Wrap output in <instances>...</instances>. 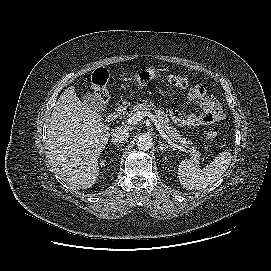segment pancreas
<instances>
[{"mask_svg":"<svg viewBox=\"0 0 271 271\" xmlns=\"http://www.w3.org/2000/svg\"><path fill=\"white\" fill-rule=\"evenodd\" d=\"M149 110H154L158 122L160 123L162 129L168 134L171 141L180 143L185 147H190L189 145H191L192 142L181 137L182 135L177 131V129L170 126V120L166 112L156 107L152 102L143 100L141 103H137L135 106H133V110L129 111L126 115L131 116L138 112H147ZM190 152L193 154L194 160H197V158L200 156L195 147H190Z\"/></svg>","mask_w":271,"mask_h":271,"instance_id":"cf45deb5","label":"pancreas"}]
</instances>
